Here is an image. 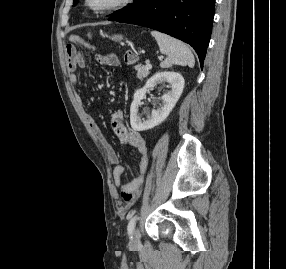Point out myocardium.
<instances>
[{
  "label": "myocardium",
  "mask_w": 286,
  "mask_h": 269,
  "mask_svg": "<svg viewBox=\"0 0 286 269\" xmlns=\"http://www.w3.org/2000/svg\"><path fill=\"white\" fill-rule=\"evenodd\" d=\"M134 1L135 0H117L107 6H102V7H94L92 5V0H85L84 4L86 9L94 15H108L128 7Z\"/></svg>",
  "instance_id": "f54148a6"
}]
</instances>
